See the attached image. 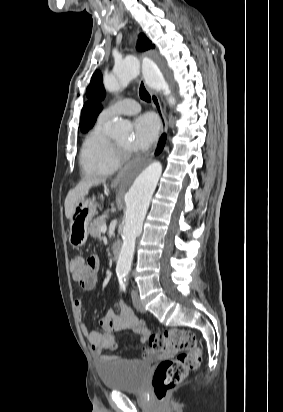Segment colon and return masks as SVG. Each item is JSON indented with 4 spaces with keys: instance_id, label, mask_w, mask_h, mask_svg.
<instances>
[{
    "instance_id": "colon-1",
    "label": "colon",
    "mask_w": 283,
    "mask_h": 412,
    "mask_svg": "<svg viewBox=\"0 0 283 412\" xmlns=\"http://www.w3.org/2000/svg\"><path fill=\"white\" fill-rule=\"evenodd\" d=\"M98 268L97 257L87 260L75 257L70 261V272L74 280L80 282ZM148 347L156 352L177 348L180 352L172 359L163 360L152 377V388L158 401H163L168 393L179 385L189 371L199 367L201 350L197 346L194 332L180 329H168L163 333L152 334L147 341Z\"/></svg>"
}]
</instances>
